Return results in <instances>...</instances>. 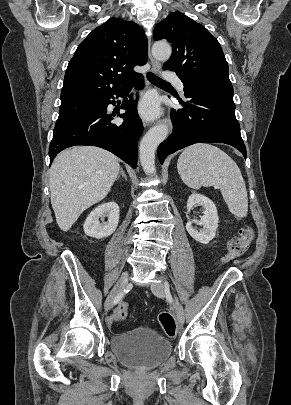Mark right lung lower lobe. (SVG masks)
Here are the masks:
<instances>
[{
    "label": "right lung lower lobe",
    "mask_w": 291,
    "mask_h": 405,
    "mask_svg": "<svg viewBox=\"0 0 291 405\" xmlns=\"http://www.w3.org/2000/svg\"><path fill=\"white\" fill-rule=\"evenodd\" d=\"M136 83L138 88H143L144 83L141 74L128 85L101 98V106L98 109L55 126L49 147L50 163L65 148L74 145H91L112 152L136 168L137 142L143 132V124L136 110V101L129 99L122 104L121 108L125 109L126 112L117 115L124 118L121 124L111 122L116 113H107V106L111 103L114 104V101L110 99H114V95L117 97L126 95L129 88Z\"/></svg>",
    "instance_id": "right-lung-lower-lobe-1"
}]
</instances>
